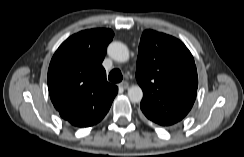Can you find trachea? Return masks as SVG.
Here are the masks:
<instances>
[{
	"label": "trachea",
	"instance_id": "obj_1",
	"mask_svg": "<svg viewBox=\"0 0 244 157\" xmlns=\"http://www.w3.org/2000/svg\"><path fill=\"white\" fill-rule=\"evenodd\" d=\"M109 81L113 82V83H119L122 81L123 76L122 73L119 69H113L110 73H109V77H108Z\"/></svg>",
	"mask_w": 244,
	"mask_h": 157
}]
</instances>
